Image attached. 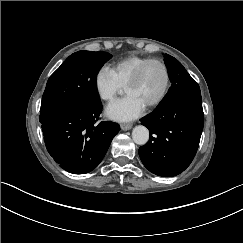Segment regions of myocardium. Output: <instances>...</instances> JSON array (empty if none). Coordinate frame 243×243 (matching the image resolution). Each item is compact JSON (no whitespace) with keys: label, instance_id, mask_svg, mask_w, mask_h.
<instances>
[{"label":"myocardium","instance_id":"obj_1","mask_svg":"<svg viewBox=\"0 0 243 243\" xmlns=\"http://www.w3.org/2000/svg\"><path fill=\"white\" fill-rule=\"evenodd\" d=\"M151 63H157V64L161 65L163 67V69L165 70L166 77H167V82H166V86H165L163 93L160 95V97L158 99H156L155 101L146 105L148 108H155L164 102V100L169 95L171 87H172L171 70H170L169 66L167 65V63H165L163 60L158 59V58H149L146 61H144L142 64L139 65V67L136 69V71L128 79V81L125 84V88L136 83L139 80V78L141 77L144 69Z\"/></svg>","mask_w":243,"mask_h":243}]
</instances>
